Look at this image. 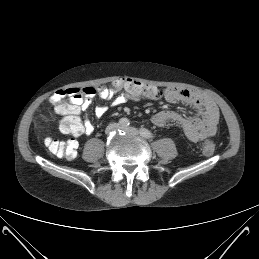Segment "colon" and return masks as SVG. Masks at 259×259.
Returning a JSON list of instances; mask_svg holds the SVG:
<instances>
[{"label":"colon","mask_w":259,"mask_h":259,"mask_svg":"<svg viewBox=\"0 0 259 259\" xmlns=\"http://www.w3.org/2000/svg\"><path fill=\"white\" fill-rule=\"evenodd\" d=\"M113 86L126 89L133 94L148 95L152 93L149 85L133 79H122L116 81L113 83ZM74 91H79V89H74ZM57 102L59 103L60 101ZM60 128L63 132L75 136L79 130V122L76 119L63 120L60 124ZM46 145L53 154L68 160H73L77 155L78 143L74 139H68L65 141L47 139ZM202 152L206 156H211L214 154L215 143L212 139L207 138L203 141Z\"/></svg>","instance_id":"obj_1"}]
</instances>
